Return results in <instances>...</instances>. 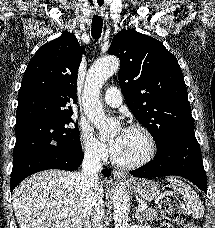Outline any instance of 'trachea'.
I'll list each match as a JSON object with an SVG mask.
<instances>
[{
	"label": "trachea",
	"mask_w": 215,
	"mask_h": 228,
	"mask_svg": "<svg viewBox=\"0 0 215 228\" xmlns=\"http://www.w3.org/2000/svg\"><path fill=\"white\" fill-rule=\"evenodd\" d=\"M102 26H103V20L100 16L94 15L92 19V37L95 39V41H98V39L101 36L102 32Z\"/></svg>",
	"instance_id": "3493384b"
}]
</instances>
